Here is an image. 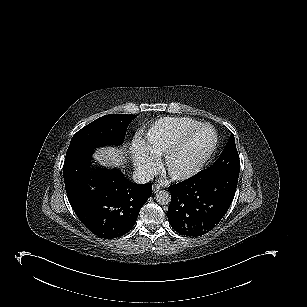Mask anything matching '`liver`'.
Segmentation results:
<instances>
[{
	"label": "liver",
	"mask_w": 307,
	"mask_h": 307,
	"mask_svg": "<svg viewBox=\"0 0 307 307\" xmlns=\"http://www.w3.org/2000/svg\"><path fill=\"white\" fill-rule=\"evenodd\" d=\"M124 151L123 148L113 146L100 147L94 152L92 157L101 166L108 168L119 167L124 164Z\"/></svg>",
	"instance_id": "liver-1"
}]
</instances>
